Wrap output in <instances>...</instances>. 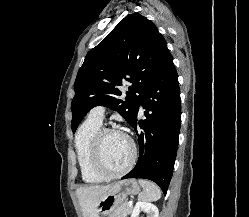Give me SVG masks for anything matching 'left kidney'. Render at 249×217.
Masks as SVG:
<instances>
[{"instance_id": "left-kidney-1", "label": "left kidney", "mask_w": 249, "mask_h": 217, "mask_svg": "<svg viewBox=\"0 0 249 217\" xmlns=\"http://www.w3.org/2000/svg\"><path fill=\"white\" fill-rule=\"evenodd\" d=\"M140 212L146 213L147 217H158L159 215L158 208L149 202H137L132 211L131 217H138Z\"/></svg>"}]
</instances>
